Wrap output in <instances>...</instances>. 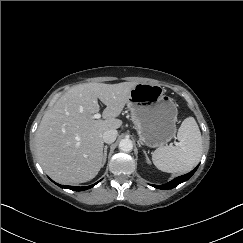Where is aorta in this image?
<instances>
[{
    "label": "aorta",
    "instance_id": "aorta-1",
    "mask_svg": "<svg viewBox=\"0 0 243 243\" xmlns=\"http://www.w3.org/2000/svg\"><path fill=\"white\" fill-rule=\"evenodd\" d=\"M119 149L123 152H129L133 149V143L130 139H122L119 143Z\"/></svg>",
    "mask_w": 243,
    "mask_h": 243
}]
</instances>
